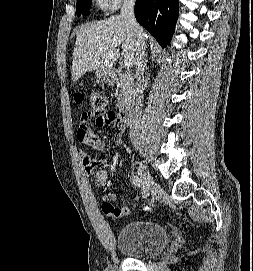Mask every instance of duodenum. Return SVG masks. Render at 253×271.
<instances>
[{
    "label": "duodenum",
    "mask_w": 253,
    "mask_h": 271,
    "mask_svg": "<svg viewBox=\"0 0 253 271\" xmlns=\"http://www.w3.org/2000/svg\"><path fill=\"white\" fill-rule=\"evenodd\" d=\"M135 119L134 106L129 104L121 108L119 112L118 121L123 125H130Z\"/></svg>",
    "instance_id": "obj_1"
}]
</instances>
